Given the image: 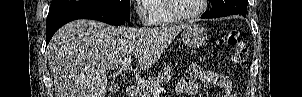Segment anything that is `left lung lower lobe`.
<instances>
[{"mask_svg": "<svg viewBox=\"0 0 302 97\" xmlns=\"http://www.w3.org/2000/svg\"><path fill=\"white\" fill-rule=\"evenodd\" d=\"M216 17H218V16L212 14L210 11H209V12H206L205 14H203V15L201 16V18H216Z\"/></svg>", "mask_w": 302, "mask_h": 97, "instance_id": "0a47b994", "label": "left lung lower lobe"}]
</instances>
